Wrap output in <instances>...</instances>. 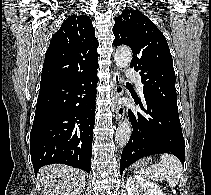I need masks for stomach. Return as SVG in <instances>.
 <instances>
[{
  "label": "stomach",
  "instance_id": "stomach-1",
  "mask_svg": "<svg viewBox=\"0 0 211 195\" xmlns=\"http://www.w3.org/2000/svg\"><path fill=\"white\" fill-rule=\"evenodd\" d=\"M148 163H149V158H145V159H142L139 162H137L135 164V167H137V168H139V167L140 168H144V167H146L148 165Z\"/></svg>",
  "mask_w": 211,
  "mask_h": 195
}]
</instances>
